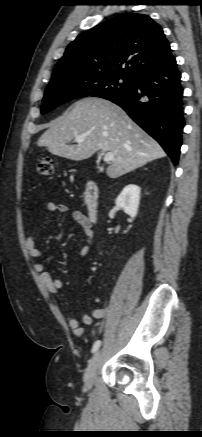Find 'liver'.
Masks as SVG:
<instances>
[{"instance_id":"6515ba94","label":"liver","mask_w":202,"mask_h":437,"mask_svg":"<svg viewBox=\"0 0 202 437\" xmlns=\"http://www.w3.org/2000/svg\"><path fill=\"white\" fill-rule=\"evenodd\" d=\"M79 135H85V140L69 145ZM37 145L74 161L88 159L99 150L113 152L114 160L106 170L113 179L166 156L123 109L101 98L77 101L70 112L50 123Z\"/></svg>"}]
</instances>
